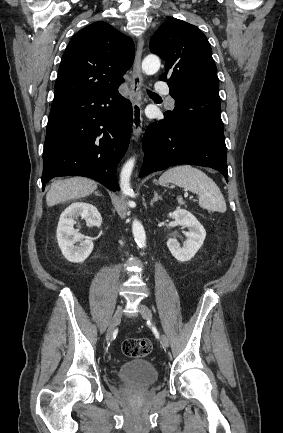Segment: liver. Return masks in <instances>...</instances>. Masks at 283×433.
<instances>
[{
  "label": "liver",
  "instance_id": "liver-1",
  "mask_svg": "<svg viewBox=\"0 0 283 433\" xmlns=\"http://www.w3.org/2000/svg\"><path fill=\"white\" fill-rule=\"evenodd\" d=\"M97 188V182L83 176H73V178H65V180H55L50 186L46 194V202L48 206L65 202V200H73V198H82L94 192Z\"/></svg>",
  "mask_w": 283,
  "mask_h": 433
}]
</instances>
